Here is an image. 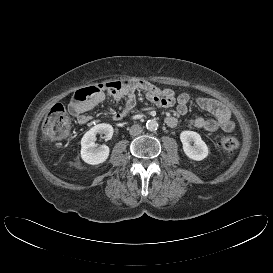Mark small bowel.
Returning <instances> with one entry per match:
<instances>
[{
	"instance_id": "small-bowel-1",
	"label": "small bowel",
	"mask_w": 273,
	"mask_h": 273,
	"mask_svg": "<svg viewBox=\"0 0 273 273\" xmlns=\"http://www.w3.org/2000/svg\"><path fill=\"white\" fill-rule=\"evenodd\" d=\"M137 91L144 92L147 99L158 107L169 108L176 105V111L179 115L183 116L188 112L189 94L181 93L176 96L173 90L160 89L145 80H135L118 89L101 87L86 101H71L69 109L79 124H88L91 122V117L86 113L103 102L106 92H108L116 103L124 102L121 110L112 116L113 120L120 121L134 108ZM196 106L212 114L213 118H192L188 121L190 126L209 132L217 130L232 132L235 129V123L231 120L228 108L218 100L201 97L196 100ZM165 121L169 127H175L178 124V119L175 116H168Z\"/></svg>"
}]
</instances>
